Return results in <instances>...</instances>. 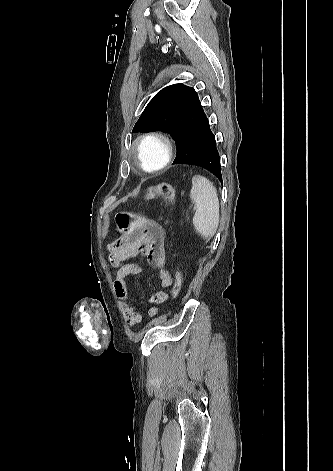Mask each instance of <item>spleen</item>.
<instances>
[{
  "instance_id": "1",
  "label": "spleen",
  "mask_w": 333,
  "mask_h": 471,
  "mask_svg": "<svg viewBox=\"0 0 333 471\" xmlns=\"http://www.w3.org/2000/svg\"><path fill=\"white\" fill-rule=\"evenodd\" d=\"M190 198L196 205L193 217L195 230L205 239H211L219 225V200L213 183L201 175L192 178Z\"/></svg>"
}]
</instances>
